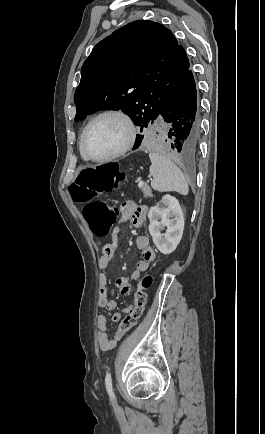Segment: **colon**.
<instances>
[{
	"instance_id": "5ec220e1",
	"label": "colon",
	"mask_w": 265,
	"mask_h": 434,
	"mask_svg": "<svg viewBox=\"0 0 265 434\" xmlns=\"http://www.w3.org/2000/svg\"><path fill=\"white\" fill-rule=\"evenodd\" d=\"M110 163L86 164L85 168H80L77 180L68 184V193H74L73 201L85 202L82 208L83 216L90 230L97 237L107 236L119 218V211L114 203L94 198L97 192L95 189L109 192L113 190V186H117V182L113 184L112 181H116V179L118 181L123 177V174L115 166L116 160L113 159ZM153 280L154 278H151L150 273H145L144 278L139 279L131 318L120 321L114 336L117 341L121 340L129 330L136 327L147 303V294L144 290L152 285Z\"/></svg>"
}]
</instances>
